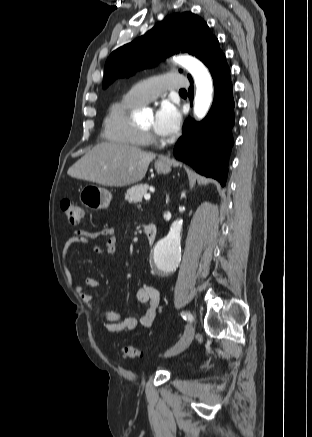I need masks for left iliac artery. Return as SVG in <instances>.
Listing matches in <instances>:
<instances>
[{"instance_id": "44dca946", "label": "left iliac artery", "mask_w": 312, "mask_h": 437, "mask_svg": "<svg viewBox=\"0 0 312 437\" xmlns=\"http://www.w3.org/2000/svg\"><path fill=\"white\" fill-rule=\"evenodd\" d=\"M181 316L183 317L184 320L192 321V319H193L191 313H189V312H182Z\"/></svg>"}]
</instances>
